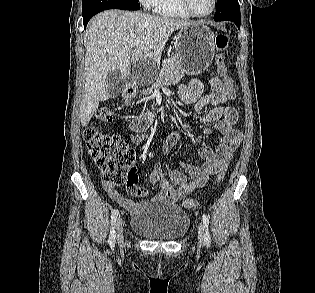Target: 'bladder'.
<instances>
[{
	"mask_svg": "<svg viewBox=\"0 0 315 293\" xmlns=\"http://www.w3.org/2000/svg\"><path fill=\"white\" fill-rule=\"evenodd\" d=\"M132 230L157 240H178L188 231L189 215L178 205L166 202L148 203L131 219Z\"/></svg>",
	"mask_w": 315,
	"mask_h": 293,
	"instance_id": "obj_1",
	"label": "bladder"
}]
</instances>
